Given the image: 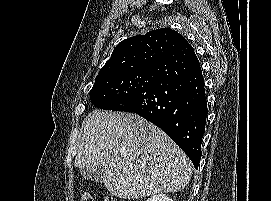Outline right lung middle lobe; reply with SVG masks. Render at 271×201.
Segmentation results:
<instances>
[{
    "label": "right lung middle lobe",
    "mask_w": 271,
    "mask_h": 201,
    "mask_svg": "<svg viewBox=\"0 0 271 201\" xmlns=\"http://www.w3.org/2000/svg\"><path fill=\"white\" fill-rule=\"evenodd\" d=\"M153 79L151 70H134L96 78L90 99L100 109L118 111L122 103L145 92Z\"/></svg>",
    "instance_id": "obj_1"
}]
</instances>
